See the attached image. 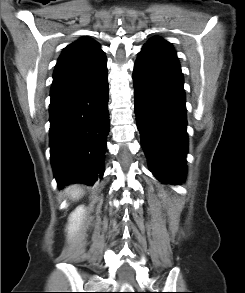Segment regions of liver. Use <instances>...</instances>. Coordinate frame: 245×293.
<instances>
[{"instance_id": "obj_1", "label": "liver", "mask_w": 245, "mask_h": 293, "mask_svg": "<svg viewBox=\"0 0 245 293\" xmlns=\"http://www.w3.org/2000/svg\"><path fill=\"white\" fill-rule=\"evenodd\" d=\"M65 192L73 200L79 199L84 194L83 189L77 185L69 186L68 188H66Z\"/></svg>"}]
</instances>
